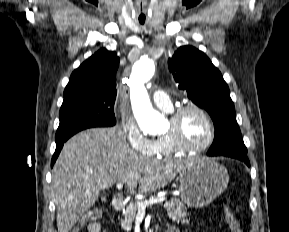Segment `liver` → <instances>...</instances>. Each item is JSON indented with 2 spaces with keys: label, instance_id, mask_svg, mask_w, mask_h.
<instances>
[{
  "label": "liver",
  "instance_id": "liver-1",
  "mask_svg": "<svg viewBox=\"0 0 289 232\" xmlns=\"http://www.w3.org/2000/svg\"><path fill=\"white\" fill-rule=\"evenodd\" d=\"M191 159H153L133 151L121 129L93 128L70 138L52 171L58 232H69L101 190L124 183L142 192L168 185Z\"/></svg>",
  "mask_w": 289,
  "mask_h": 232
}]
</instances>
